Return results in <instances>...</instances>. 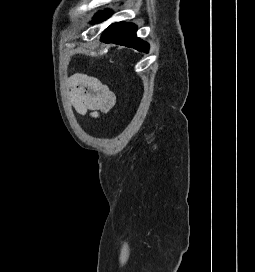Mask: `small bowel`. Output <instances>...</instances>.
Listing matches in <instances>:
<instances>
[{
  "instance_id": "small-bowel-1",
  "label": "small bowel",
  "mask_w": 255,
  "mask_h": 272,
  "mask_svg": "<svg viewBox=\"0 0 255 272\" xmlns=\"http://www.w3.org/2000/svg\"><path fill=\"white\" fill-rule=\"evenodd\" d=\"M68 86L71 105L79 114L96 117L115 105L114 92L97 77L75 73L68 79Z\"/></svg>"
}]
</instances>
